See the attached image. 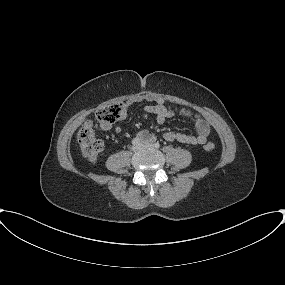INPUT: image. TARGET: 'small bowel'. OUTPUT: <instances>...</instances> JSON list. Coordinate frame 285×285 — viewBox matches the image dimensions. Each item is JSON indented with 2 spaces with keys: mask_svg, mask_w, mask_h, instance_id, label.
<instances>
[{
  "mask_svg": "<svg viewBox=\"0 0 285 285\" xmlns=\"http://www.w3.org/2000/svg\"><path fill=\"white\" fill-rule=\"evenodd\" d=\"M142 101L149 102V104L144 107V112L153 115L158 124H163L168 118L176 114V111L171 110L165 106L164 101L160 97L154 94H143L130 97L123 103L124 113L122 115V120L126 118L127 111L132 105ZM178 113L185 117L191 116V112L186 109H181L178 111ZM101 128L103 130H108L110 128V125L101 124ZM195 128L196 135L168 131L164 133L163 138L169 142L177 141L188 145H202L207 141V138L210 134V125L203 118L196 117ZM121 131L122 129L119 125L115 127V132L117 134L121 133ZM137 138L140 140H155L154 134L146 130L139 132L137 134Z\"/></svg>",
  "mask_w": 285,
  "mask_h": 285,
  "instance_id": "obj_1",
  "label": "small bowel"
}]
</instances>
